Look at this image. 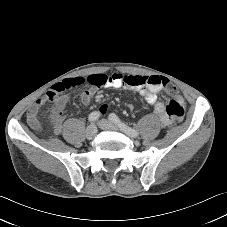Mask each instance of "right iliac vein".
<instances>
[{"label": "right iliac vein", "mask_w": 227, "mask_h": 227, "mask_svg": "<svg viewBox=\"0 0 227 227\" xmlns=\"http://www.w3.org/2000/svg\"><path fill=\"white\" fill-rule=\"evenodd\" d=\"M97 134V128L95 125H90L86 129V137L87 139H93Z\"/></svg>", "instance_id": "right-iliac-vein-1"}]
</instances>
